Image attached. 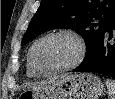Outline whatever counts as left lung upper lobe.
Here are the masks:
<instances>
[{
    "label": "left lung upper lobe",
    "instance_id": "obj_1",
    "mask_svg": "<svg viewBox=\"0 0 115 99\" xmlns=\"http://www.w3.org/2000/svg\"><path fill=\"white\" fill-rule=\"evenodd\" d=\"M114 17L115 0H42L21 45L45 31L69 28L84 38L86 58L100 43Z\"/></svg>",
    "mask_w": 115,
    "mask_h": 99
}]
</instances>
